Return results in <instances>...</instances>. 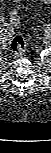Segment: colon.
<instances>
[{"mask_svg": "<svg viewBox=\"0 0 51 153\" xmlns=\"http://www.w3.org/2000/svg\"><path fill=\"white\" fill-rule=\"evenodd\" d=\"M10 21H11V24L14 26L20 24L21 17L17 9H14L11 11ZM25 48H26V40L23 36L16 35L15 37L12 38L10 42V49L12 50L13 53H15L16 55H22L25 51Z\"/></svg>", "mask_w": 51, "mask_h": 153, "instance_id": "colon-1", "label": "colon"}]
</instances>
